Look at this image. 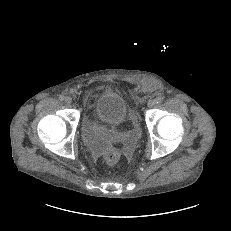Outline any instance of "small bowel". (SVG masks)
Segmentation results:
<instances>
[{"instance_id":"1","label":"small bowel","mask_w":231,"mask_h":231,"mask_svg":"<svg viewBox=\"0 0 231 231\" xmlns=\"http://www.w3.org/2000/svg\"><path fill=\"white\" fill-rule=\"evenodd\" d=\"M98 129L95 124H93L90 120H86L84 124V136L90 146L98 151L99 143L97 140Z\"/></svg>"}]
</instances>
